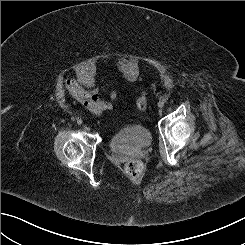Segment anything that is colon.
Listing matches in <instances>:
<instances>
[{"label":"colon","instance_id":"5ec220e1","mask_svg":"<svg viewBox=\"0 0 245 245\" xmlns=\"http://www.w3.org/2000/svg\"><path fill=\"white\" fill-rule=\"evenodd\" d=\"M147 103V93H141L136 100V107L141 111H145L147 108ZM142 170L143 164L136 159L128 161L125 165L126 173L133 177L139 176L142 173Z\"/></svg>","mask_w":245,"mask_h":245}]
</instances>
